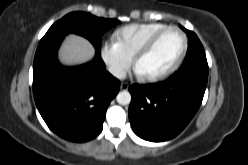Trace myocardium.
<instances>
[{"label":"myocardium","instance_id":"f54148a6","mask_svg":"<svg viewBox=\"0 0 248 165\" xmlns=\"http://www.w3.org/2000/svg\"><path fill=\"white\" fill-rule=\"evenodd\" d=\"M172 30L179 32L183 39L182 48L179 54L165 69L161 70L158 73L144 76L146 80L157 81V80H160L166 77L178 67V65L181 63L184 56L186 55V52L188 49V37L186 33L178 26H167L159 30L158 32L154 33L136 52V54L134 55V60H133L135 67H137L139 60L154 47V45L157 43L160 37L163 36L166 32L172 31Z\"/></svg>","mask_w":248,"mask_h":165}]
</instances>
